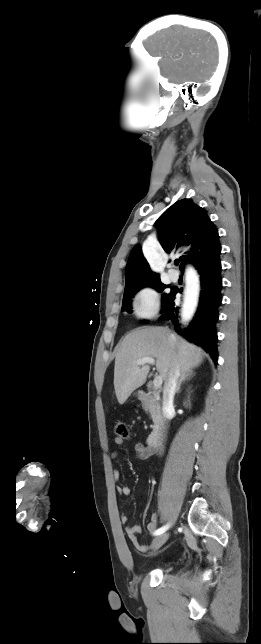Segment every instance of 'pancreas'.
I'll return each instance as SVG.
<instances>
[{
  "mask_svg": "<svg viewBox=\"0 0 261 644\" xmlns=\"http://www.w3.org/2000/svg\"><path fill=\"white\" fill-rule=\"evenodd\" d=\"M143 408L147 411L148 410V404L146 402H143Z\"/></svg>",
  "mask_w": 261,
  "mask_h": 644,
  "instance_id": "1",
  "label": "pancreas"
}]
</instances>
